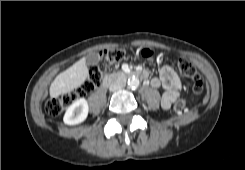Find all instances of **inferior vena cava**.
Segmentation results:
<instances>
[{
  "label": "inferior vena cava",
  "instance_id": "obj_1",
  "mask_svg": "<svg viewBox=\"0 0 245 170\" xmlns=\"http://www.w3.org/2000/svg\"><path fill=\"white\" fill-rule=\"evenodd\" d=\"M126 84V81L125 80H117V81H114L110 84L109 86V90L110 91H117L121 88H123Z\"/></svg>",
  "mask_w": 245,
  "mask_h": 170
}]
</instances>
